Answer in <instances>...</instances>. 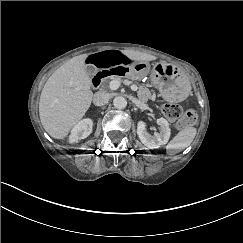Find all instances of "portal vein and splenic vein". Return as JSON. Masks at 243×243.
Wrapping results in <instances>:
<instances>
[{
  "mask_svg": "<svg viewBox=\"0 0 243 243\" xmlns=\"http://www.w3.org/2000/svg\"><path fill=\"white\" fill-rule=\"evenodd\" d=\"M119 86H120V82H118L117 80H112V81L110 82V84H109V88H110L111 90H116V89L119 88ZM131 89H132L133 91H138V87H137L136 85H132V86H131Z\"/></svg>",
  "mask_w": 243,
  "mask_h": 243,
  "instance_id": "obj_1",
  "label": "portal vein and splenic vein"
}]
</instances>
